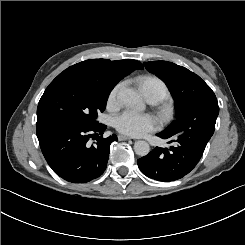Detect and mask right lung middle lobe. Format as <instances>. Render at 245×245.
Instances as JSON below:
<instances>
[{
  "instance_id": "obj_1",
  "label": "right lung middle lobe",
  "mask_w": 245,
  "mask_h": 245,
  "mask_svg": "<svg viewBox=\"0 0 245 245\" xmlns=\"http://www.w3.org/2000/svg\"><path fill=\"white\" fill-rule=\"evenodd\" d=\"M114 85L74 71L64 70L46 88L37 108V127L48 124L91 126L106 108Z\"/></svg>"
}]
</instances>
